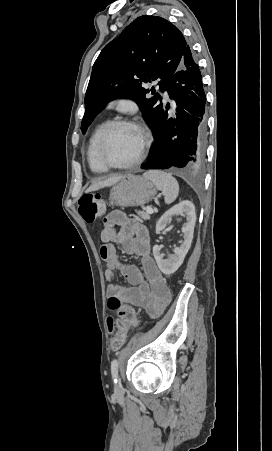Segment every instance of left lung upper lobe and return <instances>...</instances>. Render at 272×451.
<instances>
[{
  "instance_id": "1",
  "label": "left lung upper lobe",
  "mask_w": 272,
  "mask_h": 451,
  "mask_svg": "<svg viewBox=\"0 0 272 451\" xmlns=\"http://www.w3.org/2000/svg\"><path fill=\"white\" fill-rule=\"evenodd\" d=\"M187 43L180 30L158 16H140L108 43L91 73L85 94V114L81 130L85 133L95 116L111 100H134L147 124L155 127L163 110L159 93L148 99L142 82L160 79L161 91L181 64ZM154 135V133H153Z\"/></svg>"
}]
</instances>
